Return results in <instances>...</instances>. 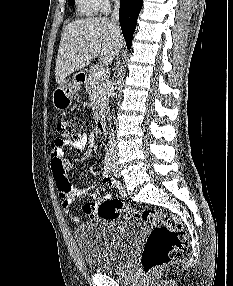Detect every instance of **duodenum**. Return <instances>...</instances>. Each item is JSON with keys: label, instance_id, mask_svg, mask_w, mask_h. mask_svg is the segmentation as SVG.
Listing matches in <instances>:
<instances>
[{"label": "duodenum", "instance_id": "1", "mask_svg": "<svg viewBox=\"0 0 233 286\" xmlns=\"http://www.w3.org/2000/svg\"><path fill=\"white\" fill-rule=\"evenodd\" d=\"M79 80L80 81H84L85 80V75L84 74H80L79 76ZM96 129L100 134H104L106 131V124H105V120L102 117H99L96 121Z\"/></svg>", "mask_w": 233, "mask_h": 286}]
</instances>
